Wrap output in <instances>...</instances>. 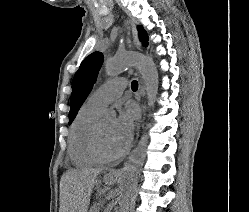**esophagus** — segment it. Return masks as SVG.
Segmentation results:
<instances>
[{"label": "esophagus", "mask_w": 249, "mask_h": 212, "mask_svg": "<svg viewBox=\"0 0 249 212\" xmlns=\"http://www.w3.org/2000/svg\"><path fill=\"white\" fill-rule=\"evenodd\" d=\"M128 23L131 27V32H132V39H133V43L135 45V47L137 49L141 48V43L138 39V33H137V29H136V24L133 20L128 19ZM137 138H138V134H137ZM137 140V139H136ZM112 175H121V170L120 169H116L110 172Z\"/></svg>", "instance_id": "34e87169"}]
</instances>
